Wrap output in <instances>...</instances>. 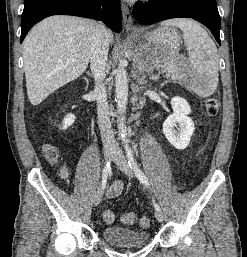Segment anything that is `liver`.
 Wrapping results in <instances>:
<instances>
[{"mask_svg": "<svg viewBox=\"0 0 247 257\" xmlns=\"http://www.w3.org/2000/svg\"><path fill=\"white\" fill-rule=\"evenodd\" d=\"M95 25L89 19L55 15L31 29L23 42V58L27 95L33 106L86 70ZM108 33L112 43L113 34Z\"/></svg>", "mask_w": 247, "mask_h": 257, "instance_id": "liver-1", "label": "liver"}]
</instances>
